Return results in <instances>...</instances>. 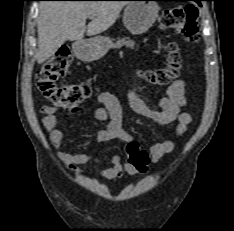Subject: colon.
I'll return each instance as SVG.
<instances>
[{"instance_id":"5ec220e1","label":"colon","mask_w":234,"mask_h":231,"mask_svg":"<svg viewBox=\"0 0 234 231\" xmlns=\"http://www.w3.org/2000/svg\"><path fill=\"white\" fill-rule=\"evenodd\" d=\"M163 28L175 29L189 41L195 42L199 36L198 10L191 4L178 5L164 11L160 17ZM71 54L68 49L59 51L49 59L35 74V82L42 94L58 109H73L92 95L89 84L57 85L58 79L64 77L70 67ZM181 68V56L175 44L168 46L167 66L146 72V78L158 85H167L176 79ZM129 163L136 170L146 171L149 156L135 141L126 146Z\"/></svg>"}]
</instances>
